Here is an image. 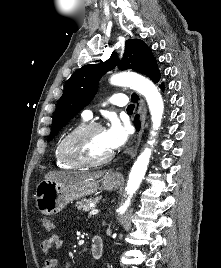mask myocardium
Instances as JSON below:
<instances>
[{
    "label": "myocardium",
    "instance_id": "1",
    "mask_svg": "<svg viewBox=\"0 0 221 268\" xmlns=\"http://www.w3.org/2000/svg\"><path fill=\"white\" fill-rule=\"evenodd\" d=\"M94 130H104L99 123H84L71 131L62 141L60 154L63 160L77 167L99 166L113 158V152L102 158H90L77 148V143L88 133Z\"/></svg>",
    "mask_w": 221,
    "mask_h": 268
}]
</instances>
